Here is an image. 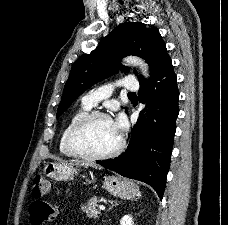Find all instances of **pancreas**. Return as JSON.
<instances>
[{"label":"pancreas","mask_w":228,"mask_h":225,"mask_svg":"<svg viewBox=\"0 0 228 225\" xmlns=\"http://www.w3.org/2000/svg\"><path fill=\"white\" fill-rule=\"evenodd\" d=\"M96 203H98L96 197L90 199L89 203H85L82 207L83 213H86L87 217L90 219H98V215H101L100 211L96 209Z\"/></svg>","instance_id":"obj_1"}]
</instances>
